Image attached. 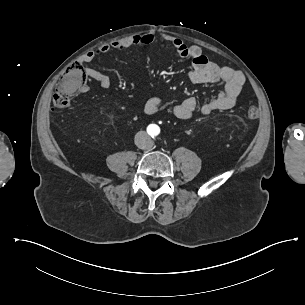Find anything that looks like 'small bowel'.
Listing matches in <instances>:
<instances>
[{"label":"small bowel","instance_id":"1","mask_svg":"<svg viewBox=\"0 0 305 305\" xmlns=\"http://www.w3.org/2000/svg\"><path fill=\"white\" fill-rule=\"evenodd\" d=\"M162 37L173 46L175 53L179 57L192 61V69L189 72L191 82H223L224 88L217 96L202 105L194 97H189L179 103L170 105H164L159 97H151L144 105V111L146 113L154 114L162 110H167L181 120H189L198 112L203 115H209L215 111L228 110L234 107L245 83V77L241 72L234 71L227 66H218L209 60L197 45H188L183 40L169 34H162ZM155 38L156 34L149 32L113 41L112 43L102 45L98 49L85 53L81 58V63L87 65L110 51H123L133 46L149 45ZM84 70L86 76L98 82L101 88L107 89L111 86V79L106 74L89 66H85ZM88 91L89 87L87 86L81 89L82 93Z\"/></svg>","mask_w":305,"mask_h":305}]
</instances>
